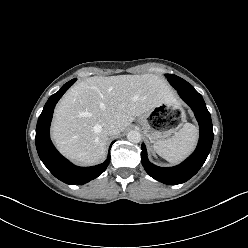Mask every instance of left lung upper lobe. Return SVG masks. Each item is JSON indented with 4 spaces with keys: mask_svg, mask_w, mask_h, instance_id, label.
<instances>
[{
    "mask_svg": "<svg viewBox=\"0 0 248 248\" xmlns=\"http://www.w3.org/2000/svg\"><path fill=\"white\" fill-rule=\"evenodd\" d=\"M166 78L170 82V84L177 90V91H186V90H194L193 86L189 84L184 79L173 75V74H165Z\"/></svg>",
    "mask_w": 248,
    "mask_h": 248,
    "instance_id": "5c2ea615",
    "label": "left lung upper lobe"
}]
</instances>
